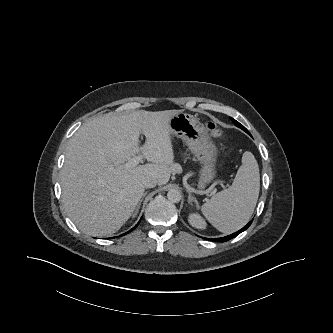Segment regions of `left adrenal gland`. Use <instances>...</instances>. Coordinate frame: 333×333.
Masks as SVG:
<instances>
[{
	"mask_svg": "<svg viewBox=\"0 0 333 333\" xmlns=\"http://www.w3.org/2000/svg\"><path fill=\"white\" fill-rule=\"evenodd\" d=\"M187 193H188V203L192 204V202H194L195 204H198L197 199L194 196H192L189 190H187Z\"/></svg>",
	"mask_w": 333,
	"mask_h": 333,
	"instance_id": "obj_1",
	"label": "left adrenal gland"
}]
</instances>
